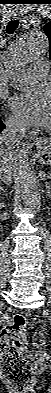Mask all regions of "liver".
<instances>
[{
    "mask_svg": "<svg viewBox=\"0 0 51 393\" xmlns=\"http://www.w3.org/2000/svg\"><path fill=\"white\" fill-rule=\"evenodd\" d=\"M2 160L8 162L11 165L12 169H15L16 163H15V159H14V154H12L10 151L6 150L1 145V149H0V163H1Z\"/></svg>",
    "mask_w": 51,
    "mask_h": 393,
    "instance_id": "liver-1",
    "label": "liver"
}]
</instances>
